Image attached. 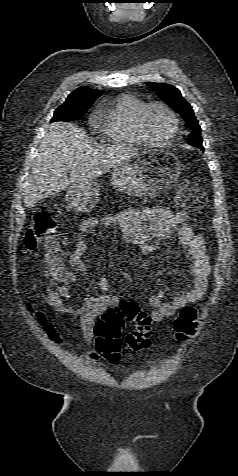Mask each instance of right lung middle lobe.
Here are the masks:
<instances>
[{"instance_id":"1","label":"right lung middle lobe","mask_w":238,"mask_h":476,"mask_svg":"<svg viewBox=\"0 0 238 476\" xmlns=\"http://www.w3.org/2000/svg\"><path fill=\"white\" fill-rule=\"evenodd\" d=\"M90 106L64 102L55 110L51 121H74L83 116Z\"/></svg>"}]
</instances>
